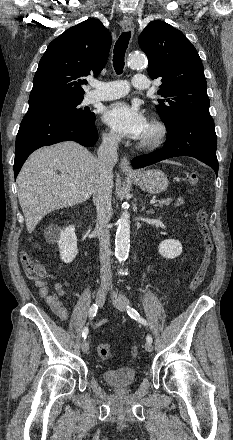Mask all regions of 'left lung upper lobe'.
<instances>
[{"mask_svg":"<svg viewBox=\"0 0 233 440\" xmlns=\"http://www.w3.org/2000/svg\"><path fill=\"white\" fill-rule=\"evenodd\" d=\"M148 57V74L161 78L164 99L156 106L167 132L190 113L209 114V98L201 59L184 34L163 21L150 22L139 36Z\"/></svg>","mask_w":233,"mask_h":440,"instance_id":"1","label":"left lung upper lobe"}]
</instances>
